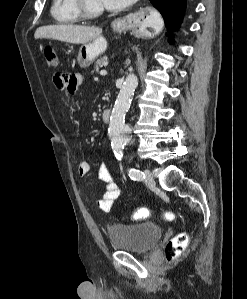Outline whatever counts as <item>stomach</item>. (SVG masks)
Here are the masks:
<instances>
[{
    "mask_svg": "<svg viewBox=\"0 0 247 299\" xmlns=\"http://www.w3.org/2000/svg\"><path fill=\"white\" fill-rule=\"evenodd\" d=\"M116 30H123L125 23H118L115 26ZM107 47L106 39L102 36L83 44L78 53L77 62L81 68L89 67L100 55L104 53Z\"/></svg>",
    "mask_w": 247,
    "mask_h": 299,
    "instance_id": "stomach-1",
    "label": "stomach"
}]
</instances>
